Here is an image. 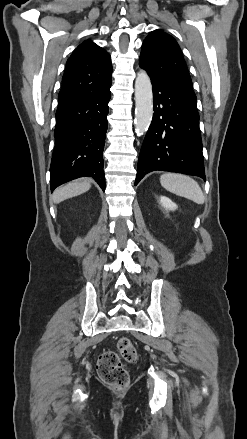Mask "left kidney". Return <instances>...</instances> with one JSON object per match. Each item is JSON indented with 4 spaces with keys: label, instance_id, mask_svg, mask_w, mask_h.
Masks as SVG:
<instances>
[{
    "label": "left kidney",
    "instance_id": "obj_1",
    "mask_svg": "<svg viewBox=\"0 0 247 439\" xmlns=\"http://www.w3.org/2000/svg\"><path fill=\"white\" fill-rule=\"evenodd\" d=\"M160 204H161V206L163 207V208H165V210H175V209H177V205L174 203V202H172V200L171 199H169L168 197H166V196H161L160 197Z\"/></svg>",
    "mask_w": 247,
    "mask_h": 439
}]
</instances>
